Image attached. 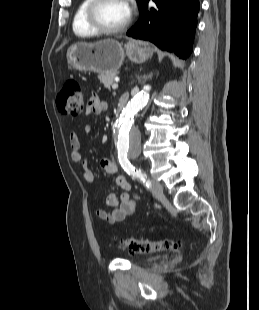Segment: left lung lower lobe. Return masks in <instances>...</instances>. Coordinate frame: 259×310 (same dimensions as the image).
<instances>
[{
    "mask_svg": "<svg viewBox=\"0 0 259 310\" xmlns=\"http://www.w3.org/2000/svg\"><path fill=\"white\" fill-rule=\"evenodd\" d=\"M148 1L139 3L140 19L127 35L149 40L162 50L186 59L193 48L199 0H153L156 7L150 8Z\"/></svg>",
    "mask_w": 259,
    "mask_h": 310,
    "instance_id": "left-lung-lower-lobe-1",
    "label": "left lung lower lobe"
}]
</instances>
